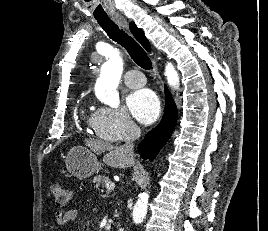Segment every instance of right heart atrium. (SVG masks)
I'll return each instance as SVG.
<instances>
[{
  "label": "right heart atrium",
  "instance_id": "1",
  "mask_svg": "<svg viewBox=\"0 0 268 231\" xmlns=\"http://www.w3.org/2000/svg\"><path fill=\"white\" fill-rule=\"evenodd\" d=\"M94 133L108 142H120L130 138L135 124L122 108L100 106L94 112L91 122Z\"/></svg>",
  "mask_w": 268,
  "mask_h": 231
}]
</instances>
